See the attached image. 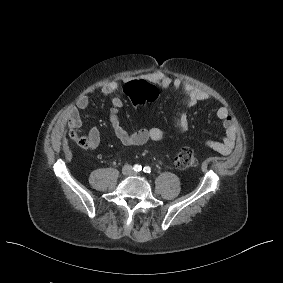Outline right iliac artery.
<instances>
[{"instance_id":"82829eb1","label":"right iliac artery","mask_w":283,"mask_h":283,"mask_svg":"<svg viewBox=\"0 0 283 283\" xmlns=\"http://www.w3.org/2000/svg\"><path fill=\"white\" fill-rule=\"evenodd\" d=\"M133 169H134V171L139 172V171H141V170H142V166H141V165L136 164V165H134Z\"/></svg>"}]
</instances>
